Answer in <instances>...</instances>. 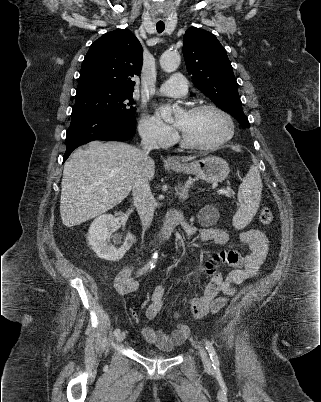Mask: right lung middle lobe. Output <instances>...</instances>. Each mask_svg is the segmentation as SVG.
<instances>
[{"mask_svg":"<svg viewBox=\"0 0 321 402\" xmlns=\"http://www.w3.org/2000/svg\"><path fill=\"white\" fill-rule=\"evenodd\" d=\"M132 92L101 85H82L76 90V102L71 117L96 115L104 117H135Z\"/></svg>","mask_w":321,"mask_h":402,"instance_id":"1","label":"right lung middle lobe"}]
</instances>
